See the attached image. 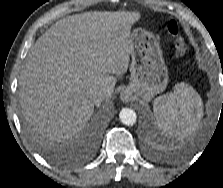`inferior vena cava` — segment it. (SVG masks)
<instances>
[{"label": "inferior vena cava", "mask_w": 223, "mask_h": 188, "mask_svg": "<svg viewBox=\"0 0 223 188\" xmlns=\"http://www.w3.org/2000/svg\"><path fill=\"white\" fill-rule=\"evenodd\" d=\"M109 96V92L105 89L93 90L91 92V99L94 104H99L103 100L107 99Z\"/></svg>", "instance_id": "inferior-vena-cava-1"}]
</instances>
